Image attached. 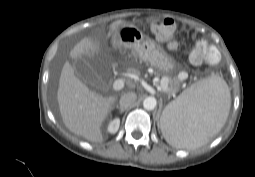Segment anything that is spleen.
Instances as JSON below:
<instances>
[{"instance_id": "3e777b00", "label": "spleen", "mask_w": 255, "mask_h": 177, "mask_svg": "<svg viewBox=\"0 0 255 177\" xmlns=\"http://www.w3.org/2000/svg\"><path fill=\"white\" fill-rule=\"evenodd\" d=\"M231 106L226 82L210 76L193 84L164 109L160 124L166 141L178 148H196L217 134Z\"/></svg>"}]
</instances>
